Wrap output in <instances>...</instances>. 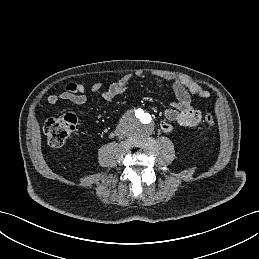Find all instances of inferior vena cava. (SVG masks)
Wrapping results in <instances>:
<instances>
[{
  "label": "inferior vena cava",
  "instance_id": "602c4592",
  "mask_svg": "<svg viewBox=\"0 0 259 259\" xmlns=\"http://www.w3.org/2000/svg\"><path fill=\"white\" fill-rule=\"evenodd\" d=\"M117 135L122 138L123 137V133L121 131H117Z\"/></svg>",
  "mask_w": 259,
  "mask_h": 259
}]
</instances>
